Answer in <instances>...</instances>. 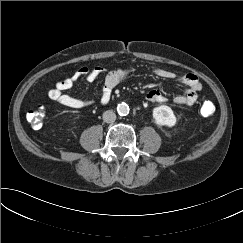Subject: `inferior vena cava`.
Returning <instances> with one entry per match:
<instances>
[{
	"instance_id": "obj_1",
	"label": "inferior vena cava",
	"mask_w": 243,
	"mask_h": 243,
	"mask_svg": "<svg viewBox=\"0 0 243 243\" xmlns=\"http://www.w3.org/2000/svg\"><path fill=\"white\" fill-rule=\"evenodd\" d=\"M103 120L106 123H113L116 120V115L112 110H107L103 113Z\"/></svg>"
}]
</instances>
